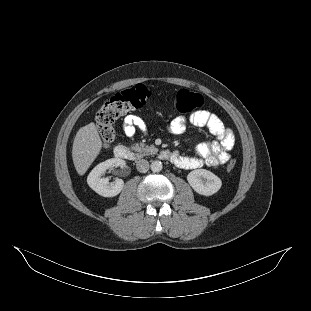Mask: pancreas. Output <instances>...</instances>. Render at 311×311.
Returning <instances> with one entry per match:
<instances>
[{"instance_id":"obj_1","label":"pancreas","mask_w":311,"mask_h":311,"mask_svg":"<svg viewBox=\"0 0 311 311\" xmlns=\"http://www.w3.org/2000/svg\"><path fill=\"white\" fill-rule=\"evenodd\" d=\"M131 150L137 153V157L156 154L158 152V148H156L154 145H146L143 142L132 145Z\"/></svg>"}]
</instances>
